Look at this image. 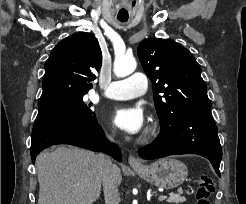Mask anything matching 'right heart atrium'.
I'll return each mask as SVG.
<instances>
[{"mask_svg": "<svg viewBox=\"0 0 246 204\" xmlns=\"http://www.w3.org/2000/svg\"><path fill=\"white\" fill-rule=\"evenodd\" d=\"M112 134H113V129H112V128H109V129H108V135H109V136H112Z\"/></svg>", "mask_w": 246, "mask_h": 204, "instance_id": "obj_1", "label": "right heart atrium"}]
</instances>
